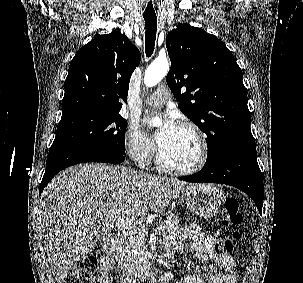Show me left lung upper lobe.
Listing matches in <instances>:
<instances>
[{
	"instance_id": "left-lung-upper-lobe-1",
	"label": "left lung upper lobe",
	"mask_w": 303,
	"mask_h": 283,
	"mask_svg": "<svg viewBox=\"0 0 303 283\" xmlns=\"http://www.w3.org/2000/svg\"><path fill=\"white\" fill-rule=\"evenodd\" d=\"M166 47L167 84L179 109L206 134V162L233 146L255 143L242 71L226 45L201 28L181 24L168 33Z\"/></svg>"
}]
</instances>
